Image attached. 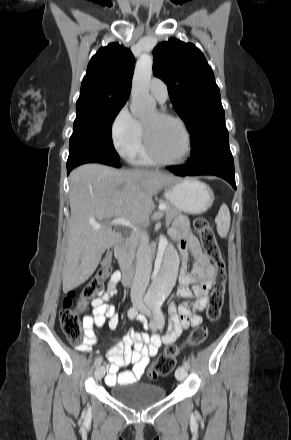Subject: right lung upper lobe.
<instances>
[{
    "instance_id": "right-lung-upper-lobe-1",
    "label": "right lung upper lobe",
    "mask_w": 291,
    "mask_h": 440,
    "mask_svg": "<svg viewBox=\"0 0 291 440\" xmlns=\"http://www.w3.org/2000/svg\"><path fill=\"white\" fill-rule=\"evenodd\" d=\"M135 58L128 48L118 43L102 47L90 60L76 104L119 101L129 98Z\"/></svg>"
}]
</instances>
